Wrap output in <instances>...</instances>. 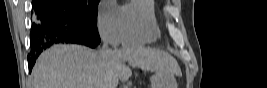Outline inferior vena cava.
Returning <instances> with one entry per match:
<instances>
[{"label":"inferior vena cava","instance_id":"inferior-vena-cava-1","mask_svg":"<svg viewBox=\"0 0 267 88\" xmlns=\"http://www.w3.org/2000/svg\"><path fill=\"white\" fill-rule=\"evenodd\" d=\"M102 41H103V47H102V49H101V53L102 54H106V53H108L110 50H109V47H108V41H107V38L104 36V35H102Z\"/></svg>","mask_w":267,"mask_h":88}]
</instances>
